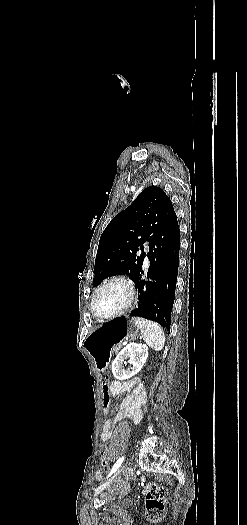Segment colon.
<instances>
[{
  "label": "colon",
  "instance_id": "colon-1",
  "mask_svg": "<svg viewBox=\"0 0 247 525\" xmlns=\"http://www.w3.org/2000/svg\"><path fill=\"white\" fill-rule=\"evenodd\" d=\"M111 378L104 379L101 381L100 386L102 389L107 390L111 386ZM102 403L100 408L104 412L111 410V400L109 392H103L101 394ZM106 418V415H103ZM112 456L107 447H104L101 451V462L103 466H107L111 462ZM142 492L146 501L145 514L149 521L160 522L165 514V497L167 490L158 485L155 482H148L142 487Z\"/></svg>",
  "mask_w": 247,
  "mask_h": 525
}]
</instances>
